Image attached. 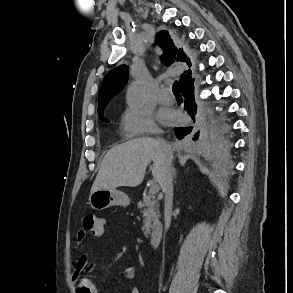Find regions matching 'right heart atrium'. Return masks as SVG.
I'll return each mask as SVG.
<instances>
[{
    "instance_id": "right-heart-atrium-1",
    "label": "right heart atrium",
    "mask_w": 293,
    "mask_h": 293,
    "mask_svg": "<svg viewBox=\"0 0 293 293\" xmlns=\"http://www.w3.org/2000/svg\"><path fill=\"white\" fill-rule=\"evenodd\" d=\"M123 130L129 136L152 135L160 133L154 116L149 111L127 109L121 116Z\"/></svg>"
}]
</instances>
